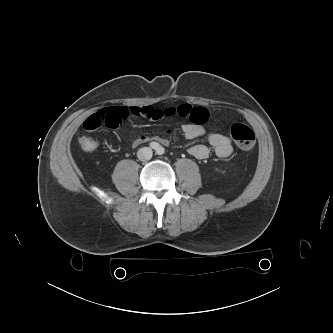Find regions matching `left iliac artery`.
Returning a JSON list of instances; mask_svg holds the SVG:
<instances>
[{
	"instance_id": "44dca946",
	"label": "left iliac artery",
	"mask_w": 333,
	"mask_h": 333,
	"mask_svg": "<svg viewBox=\"0 0 333 333\" xmlns=\"http://www.w3.org/2000/svg\"><path fill=\"white\" fill-rule=\"evenodd\" d=\"M157 153H158L159 155H162V154L164 153V148H163V147H159V148L157 149Z\"/></svg>"
}]
</instances>
